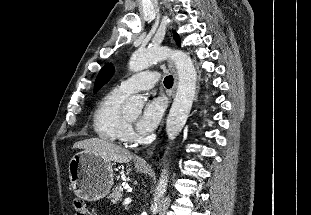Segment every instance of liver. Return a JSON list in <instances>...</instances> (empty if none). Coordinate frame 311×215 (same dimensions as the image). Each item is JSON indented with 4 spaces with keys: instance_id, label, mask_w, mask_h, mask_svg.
Wrapping results in <instances>:
<instances>
[{
    "instance_id": "obj_1",
    "label": "liver",
    "mask_w": 311,
    "mask_h": 215,
    "mask_svg": "<svg viewBox=\"0 0 311 215\" xmlns=\"http://www.w3.org/2000/svg\"><path fill=\"white\" fill-rule=\"evenodd\" d=\"M75 148L83 149L110 162L128 163L133 157L128 150L99 138L78 141L73 145V149Z\"/></svg>"
}]
</instances>
